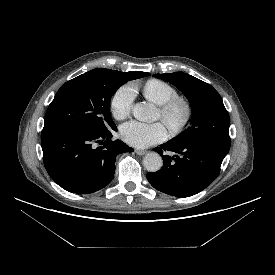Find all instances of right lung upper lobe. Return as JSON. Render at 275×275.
<instances>
[{
    "instance_id": "1",
    "label": "right lung upper lobe",
    "mask_w": 275,
    "mask_h": 275,
    "mask_svg": "<svg viewBox=\"0 0 275 275\" xmlns=\"http://www.w3.org/2000/svg\"><path fill=\"white\" fill-rule=\"evenodd\" d=\"M99 69H101V68L94 69L92 71H97ZM121 73L125 78H127L129 80H134V79H138V78L150 75L147 72H141V71H130V72H121Z\"/></svg>"
}]
</instances>
